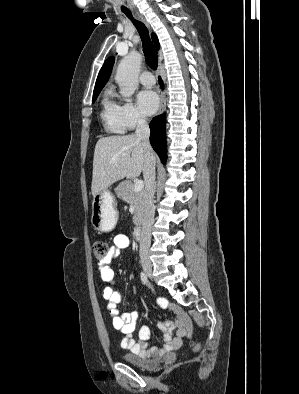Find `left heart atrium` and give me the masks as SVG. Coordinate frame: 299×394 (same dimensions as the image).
<instances>
[{
  "instance_id": "1",
  "label": "left heart atrium",
  "mask_w": 299,
  "mask_h": 394,
  "mask_svg": "<svg viewBox=\"0 0 299 394\" xmlns=\"http://www.w3.org/2000/svg\"><path fill=\"white\" fill-rule=\"evenodd\" d=\"M137 104L144 115H152L159 106V98L154 91L144 89L137 95Z\"/></svg>"
}]
</instances>
